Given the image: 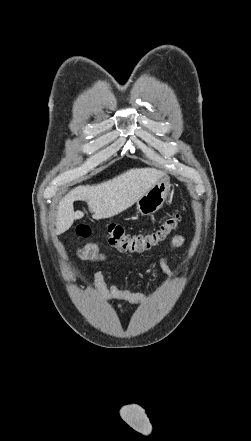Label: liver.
<instances>
[{"instance_id": "obj_1", "label": "liver", "mask_w": 251, "mask_h": 441, "mask_svg": "<svg viewBox=\"0 0 251 441\" xmlns=\"http://www.w3.org/2000/svg\"><path fill=\"white\" fill-rule=\"evenodd\" d=\"M164 173L154 168L130 169L111 180L97 185L78 186L59 202L56 234H62L81 219V211L74 212V201H86L96 220L111 218L131 207L150 190Z\"/></svg>"}]
</instances>
